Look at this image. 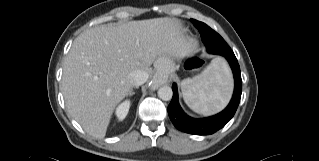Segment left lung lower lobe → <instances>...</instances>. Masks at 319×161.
<instances>
[{
  "mask_svg": "<svg viewBox=\"0 0 319 161\" xmlns=\"http://www.w3.org/2000/svg\"><path fill=\"white\" fill-rule=\"evenodd\" d=\"M198 28L202 31L199 26ZM205 34L210 35L209 32H205ZM221 55L229 62L235 81L234 93L230 103L222 112L214 116L201 119L191 118L183 112L178 103L177 86L174 83L172 85L173 98L168 106V114L178 130L194 135H209L223 128L234 116L242 93L240 67L232 50L224 51Z\"/></svg>",
  "mask_w": 319,
  "mask_h": 161,
  "instance_id": "obj_1",
  "label": "left lung lower lobe"
}]
</instances>
